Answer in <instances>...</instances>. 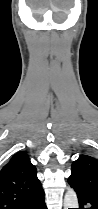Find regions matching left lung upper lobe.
Listing matches in <instances>:
<instances>
[{
    "label": "left lung upper lobe",
    "instance_id": "1",
    "mask_svg": "<svg viewBox=\"0 0 98 209\" xmlns=\"http://www.w3.org/2000/svg\"><path fill=\"white\" fill-rule=\"evenodd\" d=\"M69 185L77 193L98 200V159L89 155H80L72 163Z\"/></svg>",
    "mask_w": 98,
    "mask_h": 209
}]
</instances>
